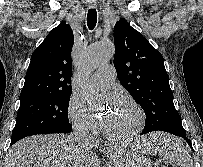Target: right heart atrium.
<instances>
[{"label": "right heart atrium", "mask_w": 203, "mask_h": 167, "mask_svg": "<svg viewBox=\"0 0 203 167\" xmlns=\"http://www.w3.org/2000/svg\"><path fill=\"white\" fill-rule=\"evenodd\" d=\"M68 117L73 128L80 132H94L97 129L95 117L89 112L85 103L73 96L68 103Z\"/></svg>", "instance_id": "d8ad5b80"}]
</instances>
